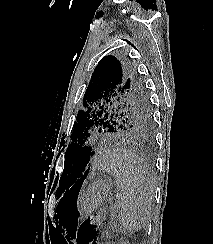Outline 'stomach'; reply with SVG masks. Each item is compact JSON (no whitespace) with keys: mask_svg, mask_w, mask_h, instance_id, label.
<instances>
[{"mask_svg":"<svg viewBox=\"0 0 213 244\" xmlns=\"http://www.w3.org/2000/svg\"><path fill=\"white\" fill-rule=\"evenodd\" d=\"M113 183L109 178L93 181L81 198V212L91 214L96 211L107 199Z\"/></svg>","mask_w":213,"mask_h":244,"instance_id":"stomach-1","label":"stomach"}]
</instances>
